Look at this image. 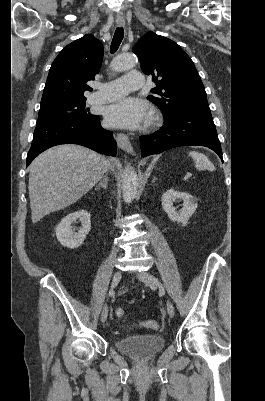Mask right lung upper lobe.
<instances>
[{
  "instance_id": "1",
  "label": "right lung upper lobe",
  "mask_w": 265,
  "mask_h": 401,
  "mask_svg": "<svg viewBox=\"0 0 265 401\" xmlns=\"http://www.w3.org/2000/svg\"><path fill=\"white\" fill-rule=\"evenodd\" d=\"M103 59V46L87 34L63 48L53 61L41 104L56 100L85 98L84 91L92 89L85 83L94 80Z\"/></svg>"
}]
</instances>
